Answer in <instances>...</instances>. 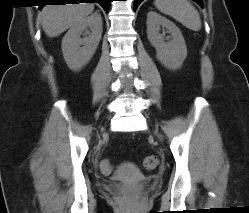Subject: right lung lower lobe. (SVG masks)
Returning a JSON list of instances; mask_svg holds the SVG:
<instances>
[{"mask_svg": "<svg viewBox=\"0 0 249 213\" xmlns=\"http://www.w3.org/2000/svg\"><path fill=\"white\" fill-rule=\"evenodd\" d=\"M82 1H88L89 3L98 2L102 5V7L105 9V11L108 13L110 2L112 0H46V2H51L54 4H66V3H80ZM43 7V6H40Z\"/></svg>", "mask_w": 249, "mask_h": 213, "instance_id": "right-lung-lower-lobe-1", "label": "right lung lower lobe"}]
</instances>
